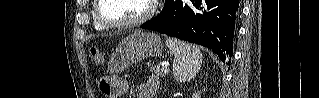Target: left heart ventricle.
Instances as JSON below:
<instances>
[{
    "label": "left heart ventricle",
    "instance_id": "obj_1",
    "mask_svg": "<svg viewBox=\"0 0 319 98\" xmlns=\"http://www.w3.org/2000/svg\"><path fill=\"white\" fill-rule=\"evenodd\" d=\"M146 7V0H103L101 14L111 22L128 21L143 14Z\"/></svg>",
    "mask_w": 319,
    "mask_h": 98
}]
</instances>
